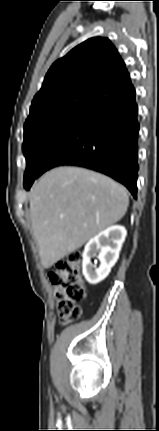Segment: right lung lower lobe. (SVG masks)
<instances>
[{
    "instance_id": "right-lung-lower-lobe-1",
    "label": "right lung lower lobe",
    "mask_w": 159,
    "mask_h": 431,
    "mask_svg": "<svg viewBox=\"0 0 159 431\" xmlns=\"http://www.w3.org/2000/svg\"><path fill=\"white\" fill-rule=\"evenodd\" d=\"M137 114L134 93L90 115L50 148L40 172L24 187L29 190L36 178L53 167L73 165L114 178L136 198L140 128Z\"/></svg>"
}]
</instances>
